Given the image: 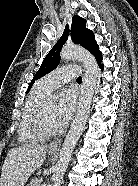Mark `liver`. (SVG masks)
<instances>
[{
    "label": "liver",
    "instance_id": "6515ba94",
    "mask_svg": "<svg viewBox=\"0 0 138 186\" xmlns=\"http://www.w3.org/2000/svg\"><path fill=\"white\" fill-rule=\"evenodd\" d=\"M46 150V144L10 149L3 163L0 186H24L30 175L43 164Z\"/></svg>",
    "mask_w": 138,
    "mask_h": 186
}]
</instances>
